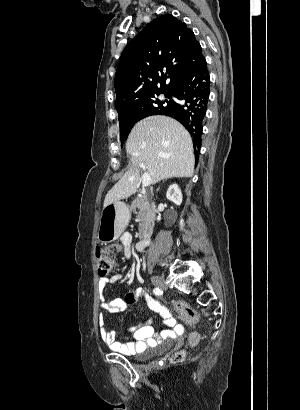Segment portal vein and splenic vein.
Returning a JSON list of instances; mask_svg holds the SVG:
<instances>
[{
	"label": "portal vein and splenic vein",
	"mask_w": 300,
	"mask_h": 410,
	"mask_svg": "<svg viewBox=\"0 0 300 410\" xmlns=\"http://www.w3.org/2000/svg\"><path fill=\"white\" fill-rule=\"evenodd\" d=\"M141 168H142L143 170H145V166H144L143 164H141ZM150 184H151L150 175L145 172V173L142 175V186H143V187H148V186H150Z\"/></svg>",
	"instance_id": "portal-vein-and-splenic-vein-1"
}]
</instances>
